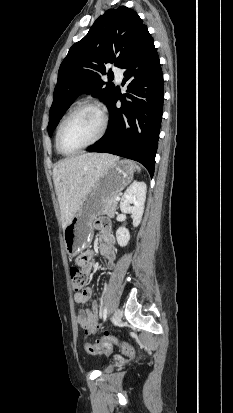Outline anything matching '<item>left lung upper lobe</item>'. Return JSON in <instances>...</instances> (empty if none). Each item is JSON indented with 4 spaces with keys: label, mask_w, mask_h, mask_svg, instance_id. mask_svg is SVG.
<instances>
[{
    "label": "left lung upper lobe",
    "mask_w": 233,
    "mask_h": 413,
    "mask_svg": "<svg viewBox=\"0 0 233 413\" xmlns=\"http://www.w3.org/2000/svg\"><path fill=\"white\" fill-rule=\"evenodd\" d=\"M147 32V26L138 14L125 6L109 9L98 17L87 35L69 49L60 65L49 112L50 136L77 95L94 92L108 106L115 87L111 83L105 86L101 79L106 74L104 63L121 67Z\"/></svg>",
    "instance_id": "obj_1"
}]
</instances>
